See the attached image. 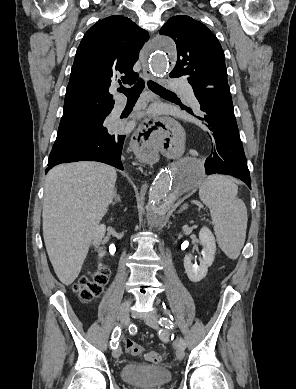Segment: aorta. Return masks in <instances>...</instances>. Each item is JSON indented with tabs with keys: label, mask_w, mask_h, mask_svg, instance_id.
<instances>
[{
	"label": "aorta",
	"mask_w": 296,
	"mask_h": 389,
	"mask_svg": "<svg viewBox=\"0 0 296 389\" xmlns=\"http://www.w3.org/2000/svg\"><path fill=\"white\" fill-rule=\"evenodd\" d=\"M152 47L150 67L155 75L160 76L167 70L175 69L177 60L173 55L176 54V47L171 39L157 38ZM203 172L202 163L195 158L186 159L176 174L170 169L161 171L149 192L146 215L148 224L157 226L162 223L177 198L192 190Z\"/></svg>",
	"instance_id": "aorta-1"
}]
</instances>
